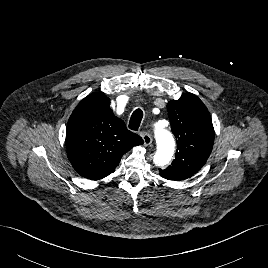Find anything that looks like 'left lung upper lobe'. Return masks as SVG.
Returning a JSON list of instances; mask_svg holds the SVG:
<instances>
[{
  "label": "left lung upper lobe",
  "mask_w": 268,
  "mask_h": 268,
  "mask_svg": "<svg viewBox=\"0 0 268 268\" xmlns=\"http://www.w3.org/2000/svg\"><path fill=\"white\" fill-rule=\"evenodd\" d=\"M171 130L177 139L175 159L160 175L168 180H185L205 164L214 141L211 116L203 102L192 93L167 104Z\"/></svg>",
  "instance_id": "1"
}]
</instances>
